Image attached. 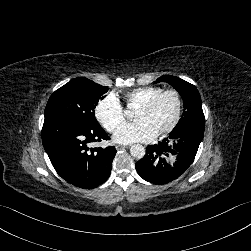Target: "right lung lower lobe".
I'll return each mask as SVG.
<instances>
[{
    "label": "right lung lower lobe",
    "instance_id": "obj_1",
    "mask_svg": "<svg viewBox=\"0 0 251 251\" xmlns=\"http://www.w3.org/2000/svg\"><path fill=\"white\" fill-rule=\"evenodd\" d=\"M110 138L98 122L80 123L65 117H47L42 142L57 173L72 185L92 189L110 176L116 154L113 146L89 148L88 143Z\"/></svg>",
    "mask_w": 251,
    "mask_h": 251
}]
</instances>
